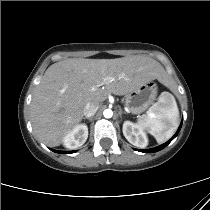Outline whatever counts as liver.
Wrapping results in <instances>:
<instances>
[{
    "label": "liver",
    "instance_id": "liver-1",
    "mask_svg": "<svg viewBox=\"0 0 210 210\" xmlns=\"http://www.w3.org/2000/svg\"><path fill=\"white\" fill-rule=\"evenodd\" d=\"M113 81H107V78ZM157 79L165 71L154 59L129 56L116 59L70 58L52 64L36 87L30 105L37 137L48 146L60 145L84 116L88 102L101 103L110 94L125 95Z\"/></svg>",
    "mask_w": 210,
    "mask_h": 210
}]
</instances>
